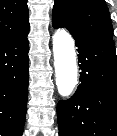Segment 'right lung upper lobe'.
Segmentation results:
<instances>
[{"label": "right lung upper lobe", "instance_id": "right-lung-upper-lobe-1", "mask_svg": "<svg viewBox=\"0 0 117 136\" xmlns=\"http://www.w3.org/2000/svg\"><path fill=\"white\" fill-rule=\"evenodd\" d=\"M28 27L27 0H0V40Z\"/></svg>", "mask_w": 117, "mask_h": 136}]
</instances>
